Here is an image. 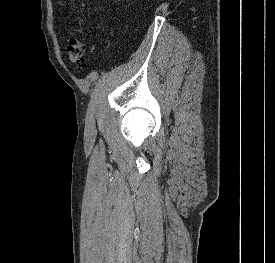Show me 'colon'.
I'll use <instances>...</instances> for the list:
<instances>
[{"instance_id":"obj_1","label":"colon","mask_w":275,"mask_h":263,"mask_svg":"<svg viewBox=\"0 0 275 263\" xmlns=\"http://www.w3.org/2000/svg\"><path fill=\"white\" fill-rule=\"evenodd\" d=\"M85 44L75 35H71L67 45L68 61L79 70L85 68Z\"/></svg>"}]
</instances>
